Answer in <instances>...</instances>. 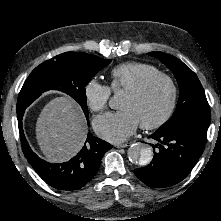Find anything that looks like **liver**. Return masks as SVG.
Returning a JSON list of instances; mask_svg holds the SVG:
<instances>
[{
    "instance_id": "obj_1",
    "label": "liver",
    "mask_w": 221,
    "mask_h": 221,
    "mask_svg": "<svg viewBox=\"0 0 221 221\" xmlns=\"http://www.w3.org/2000/svg\"><path fill=\"white\" fill-rule=\"evenodd\" d=\"M87 131L83 111L66 96L47 103L36 122V138L49 162H65L75 156L86 140Z\"/></svg>"
}]
</instances>
